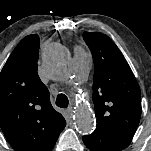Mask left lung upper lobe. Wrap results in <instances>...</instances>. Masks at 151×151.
Instances as JSON below:
<instances>
[{
    "label": "left lung upper lobe",
    "instance_id": "1",
    "mask_svg": "<svg viewBox=\"0 0 151 151\" xmlns=\"http://www.w3.org/2000/svg\"><path fill=\"white\" fill-rule=\"evenodd\" d=\"M95 65L93 103L96 130L133 138L141 116L136 78L116 44L105 34L84 32Z\"/></svg>",
    "mask_w": 151,
    "mask_h": 151
}]
</instances>
